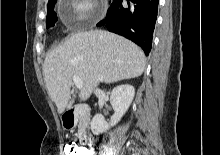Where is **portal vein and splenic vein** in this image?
Instances as JSON below:
<instances>
[{"instance_id":"portal-vein-and-splenic-vein-1","label":"portal vein and splenic vein","mask_w":220,"mask_h":155,"mask_svg":"<svg viewBox=\"0 0 220 155\" xmlns=\"http://www.w3.org/2000/svg\"><path fill=\"white\" fill-rule=\"evenodd\" d=\"M73 82L75 84V86L78 88V89H82L83 88V82L82 80L78 77V76H73Z\"/></svg>"}]
</instances>
